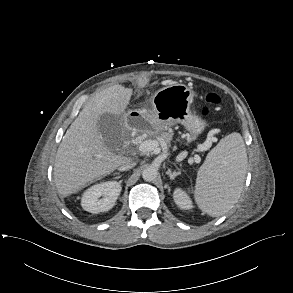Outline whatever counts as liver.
I'll return each mask as SVG.
<instances>
[{"instance_id":"obj_1","label":"liver","mask_w":293,"mask_h":293,"mask_svg":"<svg viewBox=\"0 0 293 293\" xmlns=\"http://www.w3.org/2000/svg\"><path fill=\"white\" fill-rule=\"evenodd\" d=\"M132 89L108 87L93 96L66 131L57 150L54 182L59 195L67 197L89 183L109 175L126 160L115 154L99 132L98 120L104 113L125 112Z\"/></svg>"}]
</instances>
